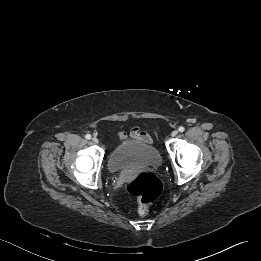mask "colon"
I'll return each instance as SVG.
<instances>
[{
    "mask_svg": "<svg viewBox=\"0 0 261 261\" xmlns=\"http://www.w3.org/2000/svg\"><path fill=\"white\" fill-rule=\"evenodd\" d=\"M125 189L138 198V214L144 217L149 212V205L162 193L163 185L155 175L142 172L129 180Z\"/></svg>",
    "mask_w": 261,
    "mask_h": 261,
    "instance_id": "obj_1",
    "label": "colon"
}]
</instances>
